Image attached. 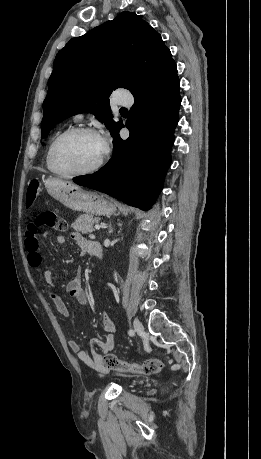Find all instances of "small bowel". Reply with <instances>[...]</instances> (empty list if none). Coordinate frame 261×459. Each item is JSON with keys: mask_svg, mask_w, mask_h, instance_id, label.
<instances>
[{"mask_svg": "<svg viewBox=\"0 0 261 459\" xmlns=\"http://www.w3.org/2000/svg\"><path fill=\"white\" fill-rule=\"evenodd\" d=\"M43 238L51 239L59 245L64 244L66 241L65 236L61 234H52L50 232L43 233ZM71 238L76 242L82 254H92L91 241H87L85 238L81 236V234L77 232L72 233ZM25 248L28 253L29 266H31L32 268H38L42 262V254L40 252L38 234H36L35 238H25ZM44 281L49 288L54 287V283L52 280V269L49 268L45 271ZM66 291L72 298H74L80 304L87 305L89 303V299L81 286V272L79 269L76 271L73 278L67 283ZM49 296L53 302L55 309L63 316L69 317L70 311L66 303L61 299V297L53 291L49 292ZM101 324L105 332V335L102 339L92 340V345L100 349L102 353H108L112 351L115 346V325L112 319L109 317V315L105 312L101 315ZM69 347L74 353L77 354L78 358L87 366L98 371H102L104 369L102 364L103 354L95 348L92 349L91 355H89L86 351L81 350L79 342L76 339L69 341Z\"/></svg>", "mask_w": 261, "mask_h": 459, "instance_id": "c3829d8e", "label": "small bowel"}]
</instances>
